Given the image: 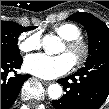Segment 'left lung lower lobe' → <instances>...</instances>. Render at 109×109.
I'll return each instance as SVG.
<instances>
[{"label": "left lung lower lobe", "mask_w": 109, "mask_h": 109, "mask_svg": "<svg viewBox=\"0 0 109 109\" xmlns=\"http://www.w3.org/2000/svg\"><path fill=\"white\" fill-rule=\"evenodd\" d=\"M58 83L65 91L79 88L81 98L69 103L63 95L61 99L52 101L55 109H98L109 96V56L87 63L75 74L59 79Z\"/></svg>", "instance_id": "obj_1"}]
</instances>
